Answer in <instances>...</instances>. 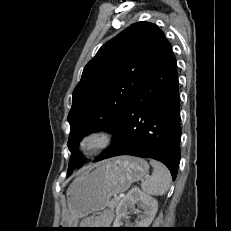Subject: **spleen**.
Instances as JSON below:
<instances>
[{"label": "spleen", "instance_id": "spleen-1", "mask_svg": "<svg viewBox=\"0 0 231 231\" xmlns=\"http://www.w3.org/2000/svg\"><path fill=\"white\" fill-rule=\"evenodd\" d=\"M150 164L153 167V173L145 178L141 188L149 195L162 196L170 187L171 174L164 164L156 160H150Z\"/></svg>", "mask_w": 231, "mask_h": 231}]
</instances>
